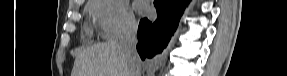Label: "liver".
Returning <instances> with one entry per match:
<instances>
[{
	"instance_id": "1",
	"label": "liver",
	"mask_w": 287,
	"mask_h": 76,
	"mask_svg": "<svg viewBox=\"0 0 287 76\" xmlns=\"http://www.w3.org/2000/svg\"><path fill=\"white\" fill-rule=\"evenodd\" d=\"M71 76H129L120 43H98L78 52Z\"/></svg>"
}]
</instances>
